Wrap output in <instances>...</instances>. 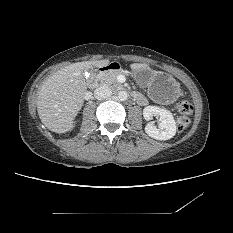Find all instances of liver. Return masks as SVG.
Masks as SVG:
<instances>
[{
	"label": "liver",
	"instance_id": "liver-1",
	"mask_svg": "<svg viewBox=\"0 0 233 233\" xmlns=\"http://www.w3.org/2000/svg\"><path fill=\"white\" fill-rule=\"evenodd\" d=\"M109 60L85 61L70 64L50 76L42 85L37 97V112L41 122L50 131L65 133L81 110L87 92L82 73L93 67H104ZM131 69L149 68L134 63Z\"/></svg>",
	"mask_w": 233,
	"mask_h": 233
}]
</instances>
